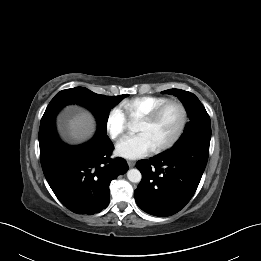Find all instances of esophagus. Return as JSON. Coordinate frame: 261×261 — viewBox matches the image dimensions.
<instances>
[{"instance_id": "34e87169", "label": "esophagus", "mask_w": 261, "mask_h": 261, "mask_svg": "<svg viewBox=\"0 0 261 261\" xmlns=\"http://www.w3.org/2000/svg\"><path fill=\"white\" fill-rule=\"evenodd\" d=\"M127 164L129 167H134L135 166V162L134 161H127Z\"/></svg>"}]
</instances>
